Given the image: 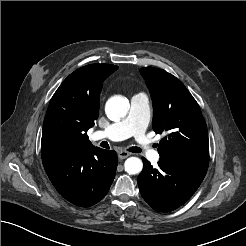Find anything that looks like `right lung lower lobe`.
I'll use <instances>...</instances> for the list:
<instances>
[{
  "mask_svg": "<svg viewBox=\"0 0 246 246\" xmlns=\"http://www.w3.org/2000/svg\"><path fill=\"white\" fill-rule=\"evenodd\" d=\"M56 190L69 202L89 207L108 193L117 167V154L98 147L70 149L42 159Z\"/></svg>",
  "mask_w": 246,
  "mask_h": 246,
  "instance_id": "98d812e1",
  "label": "right lung lower lobe"
}]
</instances>
